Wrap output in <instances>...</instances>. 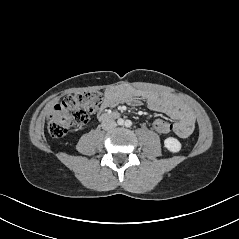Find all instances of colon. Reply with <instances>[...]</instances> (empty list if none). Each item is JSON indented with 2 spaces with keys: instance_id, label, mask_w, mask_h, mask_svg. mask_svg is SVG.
<instances>
[{
  "instance_id": "5ec220e1",
  "label": "colon",
  "mask_w": 239,
  "mask_h": 239,
  "mask_svg": "<svg viewBox=\"0 0 239 239\" xmlns=\"http://www.w3.org/2000/svg\"><path fill=\"white\" fill-rule=\"evenodd\" d=\"M103 96L99 91H87L67 95L55 105L48 119L51 136H65L73 127L85 125L91 113L102 104ZM152 130L157 135H166L171 130V121L166 116H157L152 121Z\"/></svg>"
}]
</instances>
